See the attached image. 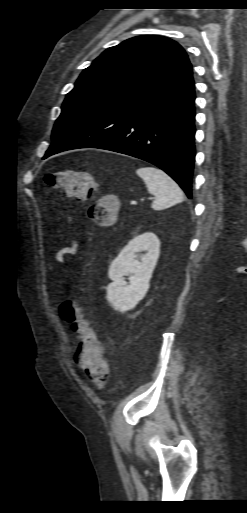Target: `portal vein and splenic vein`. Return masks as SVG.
<instances>
[{"instance_id":"1","label":"portal vein and splenic vein","mask_w":247,"mask_h":513,"mask_svg":"<svg viewBox=\"0 0 247 513\" xmlns=\"http://www.w3.org/2000/svg\"><path fill=\"white\" fill-rule=\"evenodd\" d=\"M151 199H153V198H151ZM130 204H131V205H135V204H137V201H131V203H130Z\"/></svg>"}]
</instances>
